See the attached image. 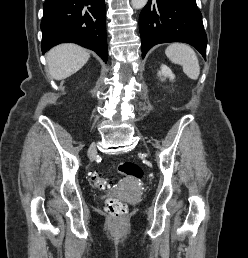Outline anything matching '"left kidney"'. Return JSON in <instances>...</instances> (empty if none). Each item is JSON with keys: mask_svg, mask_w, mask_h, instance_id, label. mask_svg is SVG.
<instances>
[{"mask_svg": "<svg viewBox=\"0 0 248 258\" xmlns=\"http://www.w3.org/2000/svg\"><path fill=\"white\" fill-rule=\"evenodd\" d=\"M159 76L169 77L170 80H174L175 75L172 73L171 69L166 65H161V70L158 72Z\"/></svg>", "mask_w": 248, "mask_h": 258, "instance_id": "left-kidney-1", "label": "left kidney"}]
</instances>
